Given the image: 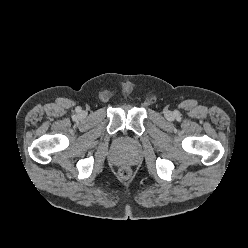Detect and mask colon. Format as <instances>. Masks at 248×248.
I'll list each match as a JSON object with an SVG mask.
<instances>
[{
  "label": "colon",
  "instance_id": "colon-1",
  "mask_svg": "<svg viewBox=\"0 0 248 248\" xmlns=\"http://www.w3.org/2000/svg\"><path fill=\"white\" fill-rule=\"evenodd\" d=\"M118 175L121 179H128L131 176L130 168L123 166L119 169Z\"/></svg>",
  "mask_w": 248,
  "mask_h": 248
}]
</instances>
